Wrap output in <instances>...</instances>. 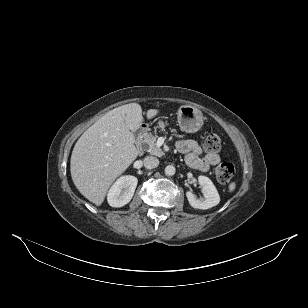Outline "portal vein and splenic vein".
<instances>
[{
  "label": "portal vein and splenic vein",
  "instance_id": "portal-vein-and-splenic-vein-1",
  "mask_svg": "<svg viewBox=\"0 0 308 308\" xmlns=\"http://www.w3.org/2000/svg\"><path fill=\"white\" fill-rule=\"evenodd\" d=\"M163 142H164V140H163V138H158V140H157V142H156V145L158 146V147H160L162 144H163Z\"/></svg>",
  "mask_w": 308,
  "mask_h": 308
}]
</instances>
